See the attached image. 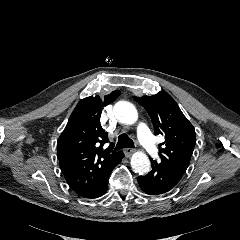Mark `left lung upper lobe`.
I'll return each mask as SVG.
<instances>
[{
  "label": "left lung upper lobe",
  "instance_id": "5c2ea615",
  "mask_svg": "<svg viewBox=\"0 0 240 240\" xmlns=\"http://www.w3.org/2000/svg\"><path fill=\"white\" fill-rule=\"evenodd\" d=\"M148 112L154 125V134L165 141L159 145L160 161L152 160L182 178L196 143L195 130L175 100L166 92L153 96L135 97Z\"/></svg>",
  "mask_w": 240,
  "mask_h": 240
}]
</instances>
